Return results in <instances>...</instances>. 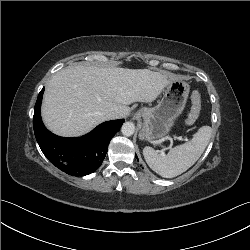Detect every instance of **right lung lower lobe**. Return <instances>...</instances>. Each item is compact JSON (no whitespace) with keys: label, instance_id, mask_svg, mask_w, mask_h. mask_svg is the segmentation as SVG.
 Here are the masks:
<instances>
[{"label":"right lung lower lobe","instance_id":"1","mask_svg":"<svg viewBox=\"0 0 250 250\" xmlns=\"http://www.w3.org/2000/svg\"><path fill=\"white\" fill-rule=\"evenodd\" d=\"M44 88L38 95L34 108L33 127L36 140L47 159L63 172L72 176H85L102 164L109 141L124 120L107 121L93 131L77 138H63L48 131L40 115Z\"/></svg>","mask_w":250,"mask_h":250}]
</instances>
